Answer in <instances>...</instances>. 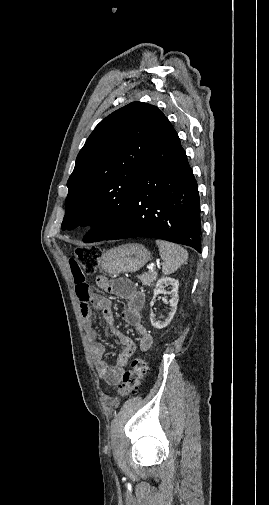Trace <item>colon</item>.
Returning a JSON list of instances; mask_svg holds the SVG:
<instances>
[{"label": "colon", "mask_w": 269, "mask_h": 505, "mask_svg": "<svg viewBox=\"0 0 269 505\" xmlns=\"http://www.w3.org/2000/svg\"><path fill=\"white\" fill-rule=\"evenodd\" d=\"M100 250L97 247H80L75 251V258L83 268L85 274H94L98 268ZM147 363L142 357L135 358L131 363V368L122 376V383L117 387V391L122 396H130L137 392L141 381L146 373Z\"/></svg>", "instance_id": "5ec220e1"}]
</instances>
